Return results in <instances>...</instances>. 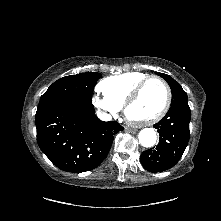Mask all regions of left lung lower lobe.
I'll return each instance as SVG.
<instances>
[{
    "mask_svg": "<svg viewBox=\"0 0 221 221\" xmlns=\"http://www.w3.org/2000/svg\"><path fill=\"white\" fill-rule=\"evenodd\" d=\"M190 108L187 104L172 105L154 126L160 134L156 147L143 151L140 160L149 172H163L181 158L190 138Z\"/></svg>",
    "mask_w": 221,
    "mask_h": 221,
    "instance_id": "0a47b994",
    "label": "left lung lower lobe"
}]
</instances>
